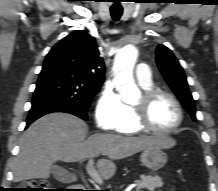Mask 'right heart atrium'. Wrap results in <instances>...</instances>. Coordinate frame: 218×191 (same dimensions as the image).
<instances>
[{
	"mask_svg": "<svg viewBox=\"0 0 218 191\" xmlns=\"http://www.w3.org/2000/svg\"><path fill=\"white\" fill-rule=\"evenodd\" d=\"M126 105L112 88H105L95 105L94 118L99 129L114 131L125 117Z\"/></svg>",
	"mask_w": 218,
	"mask_h": 191,
	"instance_id": "1",
	"label": "right heart atrium"
}]
</instances>
